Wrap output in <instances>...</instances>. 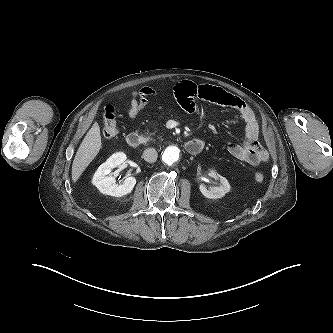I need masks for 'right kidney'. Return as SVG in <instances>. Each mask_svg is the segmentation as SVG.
<instances>
[{
    "instance_id": "ca27d5eb",
    "label": "right kidney",
    "mask_w": 333,
    "mask_h": 333,
    "mask_svg": "<svg viewBox=\"0 0 333 333\" xmlns=\"http://www.w3.org/2000/svg\"><path fill=\"white\" fill-rule=\"evenodd\" d=\"M125 160L126 155L119 152L113 154L106 162L99 166L93 176L92 183L101 193L114 197H122L133 190L136 184V179L134 177H128L124 181V184L118 185L115 183V177L110 174L113 168L119 166Z\"/></svg>"
}]
</instances>
